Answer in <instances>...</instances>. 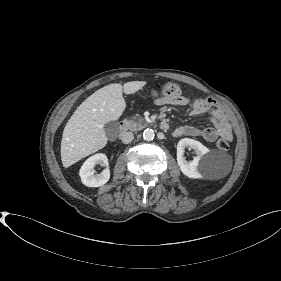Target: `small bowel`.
<instances>
[{
  "label": "small bowel",
  "mask_w": 281,
  "mask_h": 281,
  "mask_svg": "<svg viewBox=\"0 0 281 281\" xmlns=\"http://www.w3.org/2000/svg\"><path fill=\"white\" fill-rule=\"evenodd\" d=\"M156 103L160 106H190L192 115L208 114L212 127L199 128L193 125H182L173 130L174 137H200L208 142H214L218 137L232 139V131L225 115L212 98H194L176 94L162 97Z\"/></svg>",
  "instance_id": "1"
}]
</instances>
